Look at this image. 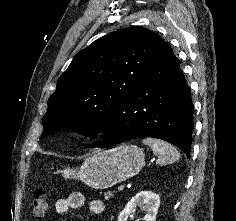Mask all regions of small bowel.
<instances>
[{"mask_svg": "<svg viewBox=\"0 0 236 221\" xmlns=\"http://www.w3.org/2000/svg\"><path fill=\"white\" fill-rule=\"evenodd\" d=\"M86 199L81 193H72L67 198H59L55 202V211L59 214L66 213L70 209H78L85 205ZM105 206L101 200H92L89 203L90 213L94 216L101 215Z\"/></svg>", "mask_w": 236, "mask_h": 221, "instance_id": "1", "label": "small bowel"}]
</instances>
